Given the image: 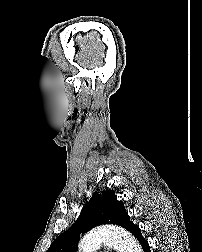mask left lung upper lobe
<instances>
[{"mask_svg":"<svg viewBox=\"0 0 202 252\" xmlns=\"http://www.w3.org/2000/svg\"><path fill=\"white\" fill-rule=\"evenodd\" d=\"M103 224H116L127 230L133 225L113 190L95 192L75 223L54 240L47 252H76L80 234Z\"/></svg>","mask_w":202,"mask_h":252,"instance_id":"1","label":"left lung upper lobe"}]
</instances>
